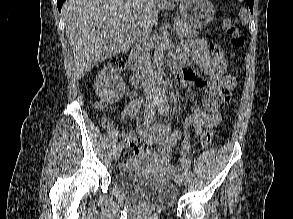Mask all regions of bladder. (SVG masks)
I'll return each instance as SVG.
<instances>
[{
    "label": "bladder",
    "instance_id": "31cf9c89",
    "mask_svg": "<svg viewBox=\"0 0 293 219\" xmlns=\"http://www.w3.org/2000/svg\"><path fill=\"white\" fill-rule=\"evenodd\" d=\"M114 185L140 206L165 209L179 197L178 187L166 176H148L136 168H123L114 176Z\"/></svg>",
    "mask_w": 293,
    "mask_h": 219
}]
</instances>
